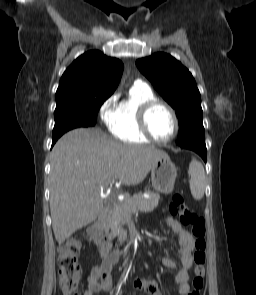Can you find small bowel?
I'll use <instances>...</instances> for the list:
<instances>
[{
	"label": "small bowel",
	"mask_w": 256,
	"mask_h": 295,
	"mask_svg": "<svg viewBox=\"0 0 256 295\" xmlns=\"http://www.w3.org/2000/svg\"><path fill=\"white\" fill-rule=\"evenodd\" d=\"M167 225L176 234L178 238V253L180 256V269L176 275V283L178 285V295H188L189 292V270L192 266L191 251L193 248V237L190 233L180 224L179 221L173 217H167ZM120 258V252L115 251L112 253L108 260H104L100 265L94 266L87 277V288L83 295H94L97 292L109 291L113 286L112 270L114 265ZM163 265L166 268H176L175 261L166 257L163 259ZM130 288L144 290L148 295H162L155 279L143 276L134 279ZM127 289H124L119 295H125Z\"/></svg>",
	"instance_id": "obj_1"
}]
</instances>
